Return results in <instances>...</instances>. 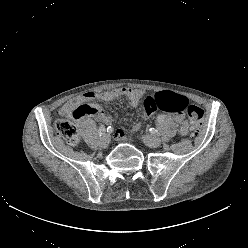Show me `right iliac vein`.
<instances>
[{"label": "right iliac vein", "instance_id": "63e3f726", "mask_svg": "<svg viewBox=\"0 0 248 248\" xmlns=\"http://www.w3.org/2000/svg\"><path fill=\"white\" fill-rule=\"evenodd\" d=\"M110 143V137L107 134H104L99 140V146L106 148Z\"/></svg>", "mask_w": 248, "mask_h": 248}]
</instances>
